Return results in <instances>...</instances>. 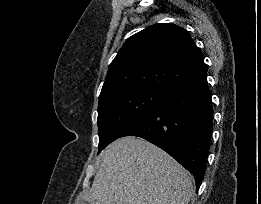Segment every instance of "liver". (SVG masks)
<instances>
[{"label": "liver", "mask_w": 261, "mask_h": 204, "mask_svg": "<svg viewBox=\"0 0 261 204\" xmlns=\"http://www.w3.org/2000/svg\"><path fill=\"white\" fill-rule=\"evenodd\" d=\"M89 204H188L193 176L154 144L133 136L117 139L101 153Z\"/></svg>", "instance_id": "liver-1"}]
</instances>
